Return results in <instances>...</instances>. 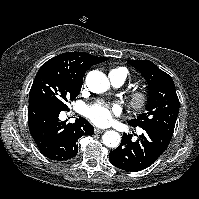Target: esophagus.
<instances>
[{
    "label": "esophagus",
    "instance_id": "esophagus-1",
    "mask_svg": "<svg viewBox=\"0 0 199 199\" xmlns=\"http://www.w3.org/2000/svg\"><path fill=\"white\" fill-rule=\"evenodd\" d=\"M104 131H105L104 129H99V128H95V129H94V132H95L96 134L103 133Z\"/></svg>",
    "mask_w": 199,
    "mask_h": 199
}]
</instances>
